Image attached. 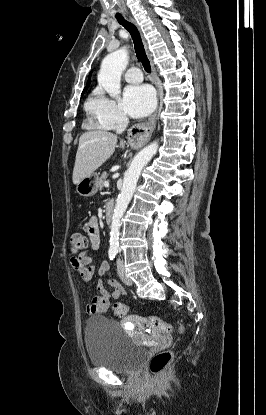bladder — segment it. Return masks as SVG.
Wrapping results in <instances>:
<instances>
[{
	"label": "bladder",
	"mask_w": 266,
	"mask_h": 415,
	"mask_svg": "<svg viewBox=\"0 0 266 415\" xmlns=\"http://www.w3.org/2000/svg\"><path fill=\"white\" fill-rule=\"evenodd\" d=\"M84 340L89 362L117 373L137 372L146 356V349L119 322L104 316L87 319Z\"/></svg>",
	"instance_id": "31cf9c89"
}]
</instances>
